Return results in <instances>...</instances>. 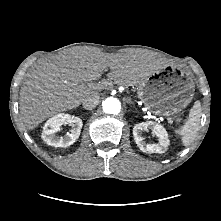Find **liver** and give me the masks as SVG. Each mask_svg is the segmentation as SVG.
I'll return each mask as SVG.
<instances>
[{
  "instance_id": "liver-1",
  "label": "liver",
  "mask_w": 221,
  "mask_h": 221,
  "mask_svg": "<svg viewBox=\"0 0 221 221\" xmlns=\"http://www.w3.org/2000/svg\"><path fill=\"white\" fill-rule=\"evenodd\" d=\"M108 68L107 80L93 83ZM157 70L154 58L146 54H109L91 48L65 51L28 72L20 90V118L32 130L54 114L78 107L89 95L114 84L136 85Z\"/></svg>"
}]
</instances>
